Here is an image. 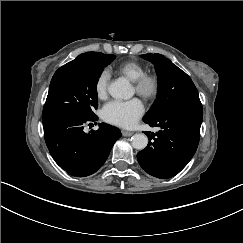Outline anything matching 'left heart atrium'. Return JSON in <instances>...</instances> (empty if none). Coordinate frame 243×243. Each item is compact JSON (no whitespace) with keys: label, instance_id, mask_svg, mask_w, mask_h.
I'll use <instances>...</instances> for the list:
<instances>
[{"label":"left heart atrium","instance_id":"39dd6f15","mask_svg":"<svg viewBox=\"0 0 243 243\" xmlns=\"http://www.w3.org/2000/svg\"><path fill=\"white\" fill-rule=\"evenodd\" d=\"M144 113V105L139 98L131 100H111L101 110L102 118L118 126H131Z\"/></svg>","mask_w":243,"mask_h":243}]
</instances>
